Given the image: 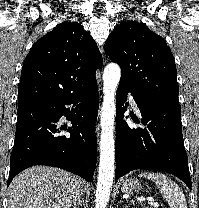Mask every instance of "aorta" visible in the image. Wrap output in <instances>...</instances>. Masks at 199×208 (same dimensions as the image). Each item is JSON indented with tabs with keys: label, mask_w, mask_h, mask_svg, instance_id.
<instances>
[{
	"label": "aorta",
	"mask_w": 199,
	"mask_h": 208,
	"mask_svg": "<svg viewBox=\"0 0 199 208\" xmlns=\"http://www.w3.org/2000/svg\"><path fill=\"white\" fill-rule=\"evenodd\" d=\"M121 77L118 64H108L103 73L104 97L101 113L100 163L96 188L95 208H106L115 172V93Z\"/></svg>",
	"instance_id": "aorta-1"
}]
</instances>
